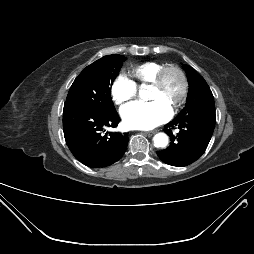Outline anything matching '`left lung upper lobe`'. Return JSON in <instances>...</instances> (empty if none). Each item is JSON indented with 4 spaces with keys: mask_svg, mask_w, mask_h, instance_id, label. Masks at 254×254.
Masks as SVG:
<instances>
[{
    "mask_svg": "<svg viewBox=\"0 0 254 254\" xmlns=\"http://www.w3.org/2000/svg\"><path fill=\"white\" fill-rule=\"evenodd\" d=\"M184 68L186 69L189 82V91L183 110L193 105L205 108H215L213 94L204 78L197 75L191 67L184 65Z\"/></svg>",
    "mask_w": 254,
    "mask_h": 254,
    "instance_id": "obj_1",
    "label": "left lung upper lobe"
}]
</instances>
